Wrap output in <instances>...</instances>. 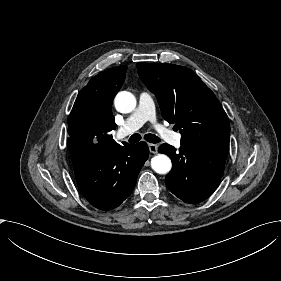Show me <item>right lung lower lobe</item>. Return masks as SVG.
<instances>
[{
    "mask_svg": "<svg viewBox=\"0 0 281 281\" xmlns=\"http://www.w3.org/2000/svg\"><path fill=\"white\" fill-rule=\"evenodd\" d=\"M70 155L82 195L92 206L111 210L132 193L149 148L145 142L80 146Z\"/></svg>",
    "mask_w": 281,
    "mask_h": 281,
    "instance_id": "obj_1",
    "label": "right lung lower lobe"
}]
</instances>
